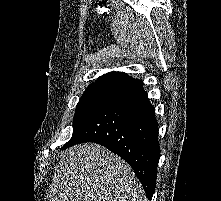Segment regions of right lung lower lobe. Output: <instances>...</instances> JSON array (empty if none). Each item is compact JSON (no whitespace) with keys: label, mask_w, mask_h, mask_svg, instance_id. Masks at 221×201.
<instances>
[{"label":"right lung lower lobe","mask_w":221,"mask_h":201,"mask_svg":"<svg viewBox=\"0 0 221 201\" xmlns=\"http://www.w3.org/2000/svg\"><path fill=\"white\" fill-rule=\"evenodd\" d=\"M83 142L98 143L123 158L152 199L160 158L158 123L140 80L118 89L61 149Z\"/></svg>","instance_id":"right-lung-lower-lobe-1"}]
</instances>
